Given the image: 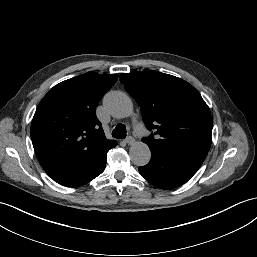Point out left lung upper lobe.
Here are the masks:
<instances>
[{"label":"left lung upper lobe","instance_id":"left-lung-upper-lobe-1","mask_svg":"<svg viewBox=\"0 0 257 257\" xmlns=\"http://www.w3.org/2000/svg\"><path fill=\"white\" fill-rule=\"evenodd\" d=\"M120 82L139 104L146 126L155 129L156 138H143L149 148L208 153L213 120L192 85L158 71L121 74Z\"/></svg>","mask_w":257,"mask_h":257}]
</instances>
